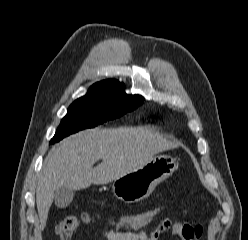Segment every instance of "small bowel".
<instances>
[{"label": "small bowel", "mask_w": 248, "mask_h": 240, "mask_svg": "<svg viewBox=\"0 0 248 240\" xmlns=\"http://www.w3.org/2000/svg\"><path fill=\"white\" fill-rule=\"evenodd\" d=\"M167 230L172 232L180 240H200L203 235V228L194 219L191 221L172 220L163 218L151 230L141 229L137 232H121L108 230L102 233L105 240H158Z\"/></svg>", "instance_id": "c3829d8e"}]
</instances>
